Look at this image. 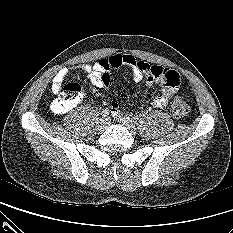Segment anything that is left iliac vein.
<instances>
[{
    "mask_svg": "<svg viewBox=\"0 0 233 233\" xmlns=\"http://www.w3.org/2000/svg\"><path fill=\"white\" fill-rule=\"evenodd\" d=\"M118 122L126 127L131 133H136L137 128L135 122L127 116H120Z\"/></svg>",
    "mask_w": 233,
    "mask_h": 233,
    "instance_id": "obj_1",
    "label": "left iliac vein"
}]
</instances>
